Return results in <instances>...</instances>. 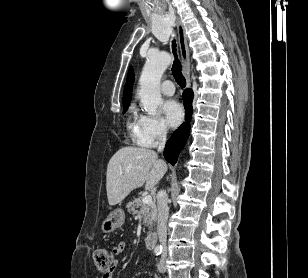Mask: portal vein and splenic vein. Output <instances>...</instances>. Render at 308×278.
I'll use <instances>...</instances> for the list:
<instances>
[{"instance_id":"18ae733b","label":"portal vein and splenic vein","mask_w":308,"mask_h":278,"mask_svg":"<svg viewBox=\"0 0 308 278\" xmlns=\"http://www.w3.org/2000/svg\"><path fill=\"white\" fill-rule=\"evenodd\" d=\"M152 202V197L151 195H145L143 198H142V203L143 204H148V203H151Z\"/></svg>"}]
</instances>
